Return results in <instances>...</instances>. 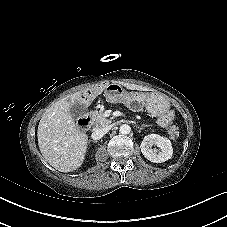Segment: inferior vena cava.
Instances as JSON below:
<instances>
[{
    "label": "inferior vena cava",
    "mask_w": 227,
    "mask_h": 227,
    "mask_svg": "<svg viewBox=\"0 0 227 227\" xmlns=\"http://www.w3.org/2000/svg\"><path fill=\"white\" fill-rule=\"evenodd\" d=\"M109 130H110V128H109L108 126L103 127V128H99V129L95 130V131L92 133L91 137H92V139H94V140H99V139H101Z\"/></svg>",
    "instance_id": "inferior-vena-cava-1"
}]
</instances>
